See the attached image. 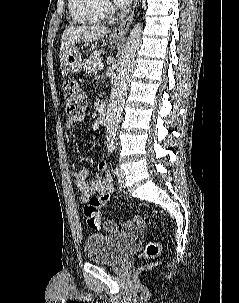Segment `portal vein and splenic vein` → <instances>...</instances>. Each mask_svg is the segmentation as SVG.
Wrapping results in <instances>:
<instances>
[{"label": "portal vein and splenic vein", "instance_id": "1", "mask_svg": "<svg viewBox=\"0 0 239 303\" xmlns=\"http://www.w3.org/2000/svg\"><path fill=\"white\" fill-rule=\"evenodd\" d=\"M97 67H98L99 70L103 69V67H104L103 62H99Z\"/></svg>", "mask_w": 239, "mask_h": 303}]
</instances>
